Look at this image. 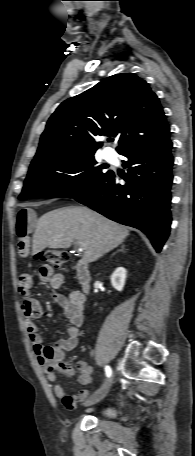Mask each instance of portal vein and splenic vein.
Masks as SVG:
<instances>
[{"label": "portal vein and splenic vein", "mask_w": 195, "mask_h": 456, "mask_svg": "<svg viewBox=\"0 0 195 456\" xmlns=\"http://www.w3.org/2000/svg\"><path fill=\"white\" fill-rule=\"evenodd\" d=\"M79 251H84L86 249V244L82 241H78Z\"/></svg>", "instance_id": "18ae733b"}]
</instances>
